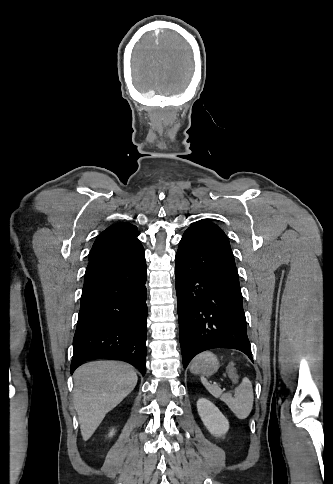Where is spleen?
<instances>
[{
    "instance_id": "obj_1",
    "label": "spleen",
    "mask_w": 333,
    "mask_h": 484,
    "mask_svg": "<svg viewBox=\"0 0 333 484\" xmlns=\"http://www.w3.org/2000/svg\"><path fill=\"white\" fill-rule=\"evenodd\" d=\"M201 381L211 395L223 401L238 419H246L253 407L254 395L252 383L248 378H243L241 384L234 390V397L230 392L222 393L218 385L210 384L206 378Z\"/></svg>"
}]
</instances>
